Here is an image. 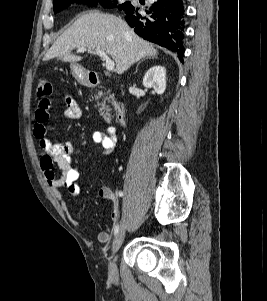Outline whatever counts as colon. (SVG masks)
<instances>
[{"mask_svg": "<svg viewBox=\"0 0 267 301\" xmlns=\"http://www.w3.org/2000/svg\"><path fill=\"white\" fill-rule=\"evenodd\" d=\"M52 93V86L47 80H41L36 89V94L40 98H47Z\"/></svg>", "mask_w": 267, "mask_h": 301, "instance_id": "5ec220e1", "label": "colon"}]
</instances>
